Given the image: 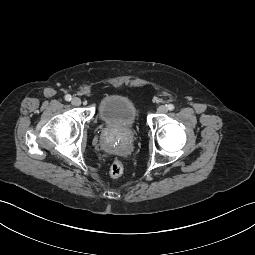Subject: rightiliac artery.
Listing matches in <instances>:
<instances>
[{
  "mask_svg": "<svg viewBox=\"0 0 255 255\" xmlns=\"http://www.w3.org/2000/svg\"><path fill=\"white\" fill-rule=\"evenodd\" d=\"M71 99H72L71 95L68 94V95L65 96L66 101H70Z\"/></svg>",
  "mask_w": 255,
  "mask_h": 255,
  "instance_id": "1",
  "label": "right iliac artery"
}]
</instances>
